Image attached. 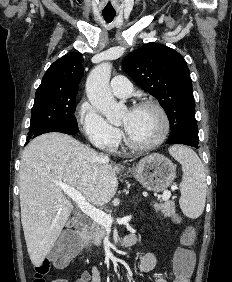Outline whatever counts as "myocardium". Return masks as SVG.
<instances>
[{
    "mask_svg": "<svg viewBox=\"0 0 232 282\" xmlns=\"http://www.w3.org/2000/svg\"><path fill=\"white\" fill-rule=\"evenodd\" d=\"M139 108H152L160 115L162 119V131L160 135L155 140L149 143L141 144L134 142L124 130L123 139L125 144L131 149L139 150V151L151 150L161 145L168 137V134L170 132V119L165 109L156 101L153 100L140 101L137 104H135L133 109H139Z\"/></svg>",
    "mask_w": 232,
    "mask_h": 282,
    "instance_id": "obj_1",
    "label": "myocardium"
}]
</instances>
